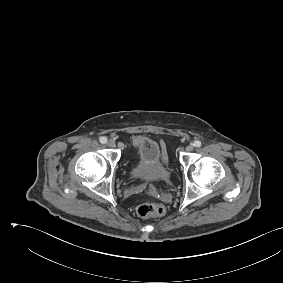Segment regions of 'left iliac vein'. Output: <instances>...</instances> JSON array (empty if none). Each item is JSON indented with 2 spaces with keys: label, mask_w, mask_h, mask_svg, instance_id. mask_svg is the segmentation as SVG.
<instances>
[{
  "label": "left iliac vein",
  "mask_w": 283,
  "mask_h": 283,
  "mask_svg": "<svg viewBox=\"0 0 283 283\" xmlns=\"http://www.w3.org/2000/svg\"><path fill=\"white\" fill-rule=\"evenodd\" d=\"M194 149L193 145L190 144L186 147V151L191 152Z\"/></svg>",
  "instance_id": "left-iliac-vein-1"
}]
</instances>
